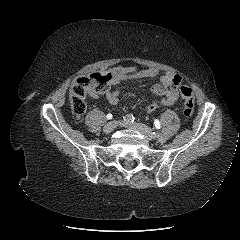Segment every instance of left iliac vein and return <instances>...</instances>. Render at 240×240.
<instances>
[{
	"label": "left iliac vein",
	"mask_w": 240,
	"mask_h": 240,
	"mask_svg": "<svg viewBox=\"0 0 240 240\" xmlns=\"http://www.w3.org/2000/svg\"><path fill=\"white\" fill-rule=\"evenodd\" d=\"M122 125L138 131L148 140H152L156 137V135L151 131V129L148 126H146L145 124H142V123H123Z\"/></svg>",
	"instance_id": "left-iliac-vein-1"
}]
</instances>
